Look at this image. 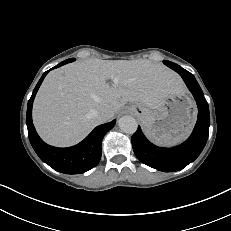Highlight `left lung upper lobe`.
<instances>
[{
  "mask_svg": "<svg viewBox=\"0 0 231 231\" xmlns=\"http://www.w3.org/2000/svg\"><path fill=\"white\" fill-rule=\"evenodd\" d=\"M164 63L169 66L170 68L174 69V68H180L179 65L173 63V62H170V61H164Z\"/></svg>",
  "mask_w": 231,
  "mask_h": 231,
  "instance_id": "1",
  "label": "left lung upper lobe"
}]
</instances>
